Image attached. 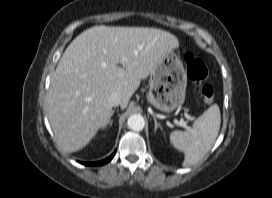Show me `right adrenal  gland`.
<instances>
[{
  "instance_id": "right-adrenal-gland-1",
  "label": "right adrenal gland",
  "mask_w": 272,
  "mask_h": 198,
  "mask_svg": "<svg viewBox=\"0 0 272 198\" xmlns=\"http://www.w3.org/2000/svg\"><path fill=\"white\" fill-rule=\"evenodd\" d=\"M114 113H115V110H113V111L111 112V117L113 116ZM112 124H113V121H112V120H109V121L107 122V125H109V126H112Z\"/></svg>"
}]
</instances>
